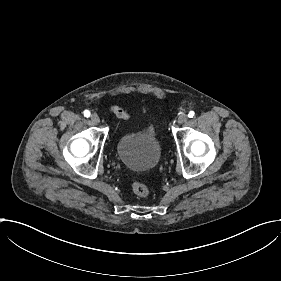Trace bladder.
I'll return each instance as SVG.
<instances>
[{"label":"bladder","mask_w":281,"mask_h":281,"mask_svg":"<svg viewBox=\"0 0 281 281\" xmlns=\"http://www.w3.org/2000/svg\"><path fill=\"white\" fill-rule=\"evenodd\" d=\"M120 160L130 168L146 170L160 158V143L152 127L123 134L117 143Z\"/></svg>","instance_id":"1"}]
</instances>
